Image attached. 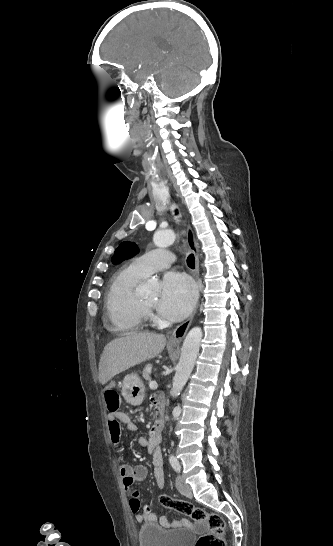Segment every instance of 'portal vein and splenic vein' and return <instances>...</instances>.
I'll list each match as a JSON object with an SVG mask.
<instances>
[{
	"label": "portal vein and splenic vein",
	"mask_w": 333,
	"mask_h": 546,
	"mask_svg": "<svg viewBox=\"0 0 333 546\" xmlns=\"http://www.w3.org/2000/svg\"><path fill=\"white\" fill-rule=\"evenodd\" d=\"M149 387L151 389H157L158 385H157L156 381H151L150 384H149Z\"/></svg>",
	"instance_id": "obj_1"
}]
</instances>
